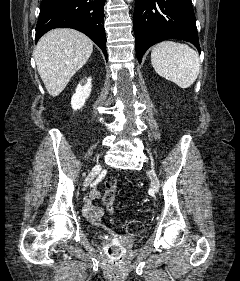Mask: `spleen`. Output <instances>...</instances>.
<instances>
[{"label":"spleen","instance_id":"spleen-1","mask_svg":"<svg viewBox=\"0 0 240 281\" xmlns=\"http://www.w3.org/2000/svg\"><path fill=\"white\" fill-rule=\"evenodd\" d=\"M156 73L182 89L189 88L200 72L198 53L186 44L163 41L152 48Z\"/></svg>","mask_w":240,"mask_h":281}]
</instances>
